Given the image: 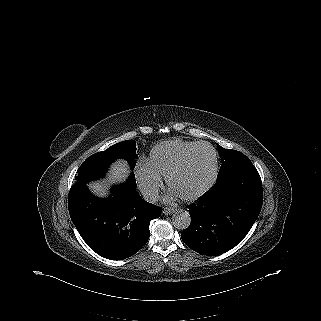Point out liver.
Instances as JSON below:
<instances>
[{"label": "liver", "mask_w": 321, "mask_h": 321, "mask_svg": "<svg viewBox=\"0 0 321 321\" xmlns=\"http://www.w3.org/2000/svg\"><path fill=\"white\" fill-rule=\"evenodd\" d=\"M128 172L127 163L125 161H118L112 166L109 179L111 182H121L126 179ZM89 187L98 195H105L107 193L106 187L99 183H91Z\"/></svg>", "instance_id": "liver-1"}]
</instances>
